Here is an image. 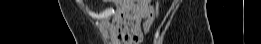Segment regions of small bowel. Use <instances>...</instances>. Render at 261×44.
Segmentation results:
<instances>
[{"label": "small bowel", "mask_w": 261, "mask_h": 44, "mask_svg": "<svg viewBox=\"0 0 261 44\" xmlns=\"http://www.w3.org/2000/svg\"><path fill=\"white\" fill-rule=\"evenodd\" d=\"M136 6H118L113 11L110 32L118 44H140L142 42L141 22L146 17L148 6L142 1H136Z\"/></svg>", "instance_id": "1"}]
</instances>
